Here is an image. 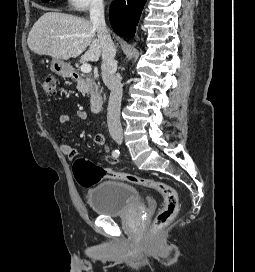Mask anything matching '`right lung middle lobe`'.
<instances>
[{"label":"right lung middle lobe","mask_w":255,"mask_h":272,"mask_svg":"<svg viewBox=\"0 0 255 272\" xmlns=\"http://www.w3.org/2000/svg\"><path fill=\"white\" fill-rule=\"evenodd\" d=\"M43 2H48L49 0H42Z\"/></svg>","instance_id":"obj_1"}]
</instances>
